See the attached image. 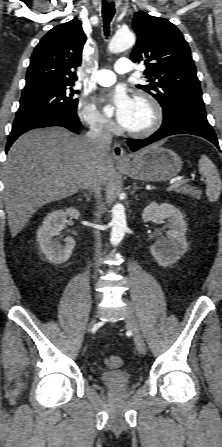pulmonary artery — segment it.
Masks as SVG:
<instances>
[{"label": "pulmonary artery", "mask_w": 222, "mask_h": 447, "mask_svg": "<svg viewBox=\"0 0 222 447\" xmlns=\"http://www.w3.org/2000/svg\"><path fill=\"white\" fill-rule=\"evenodd\" d=\"M132 70V63L129 59H121L116 62L115 72L110 70L101 69L97 71L93 76V81L101 86H110L116 81V74L125 75L129 74Z\"/></svg>", "instance_id": "pulmonary-artery-1"}]
</instances>
